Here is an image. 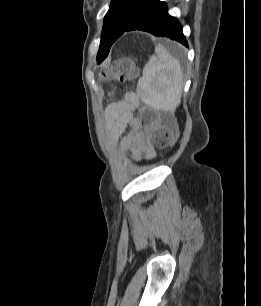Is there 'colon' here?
Masks as SVG:
<instances>
[{
  "label": "colon",
  "instance_id": "5ec220e1",
  "mask_svg": "<svg viewBox=\"0 0 261 306\" xmlns=\"http://www.w3.org/2000/svg\"><path fill=\"white\" fill-rule=\"evenodd\" d=\"M135 75V66L128 59H119L111 67V76L121 81H128ZM144 124L150 129V138L154 146L165 148L172 141V131L168 124H161L153 114L143 116Z\"/></svg>",
  "mask_w": 261,
  "mask_h": 306
}]
</instances>
